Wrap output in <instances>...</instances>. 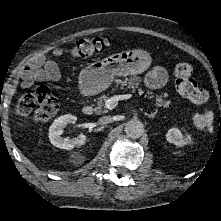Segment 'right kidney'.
I'll use <instances>...</instances> for the list:
<instances>
[{
    "mask_svg": "<svg viewBox=\"0 0 221 221\" xmlns=\"http://www.w3.org/2000/svg\"><path fill=\"white\" fill-rule=\"evenodd\" d=\"M76 121L77 117L71 114L63 115L55 119L49 127V140L51 144L55 147L66 150H71L74 147L83 145L86 140V136L83 134H80L78 137L72 139L61 137L63 128L67 124H75Z\"/></svg>",
    "mask_w": 221,
    "mask_h": 221,
    "instance_id": "1",
    "label": "right kidney"
}]
</instances>
